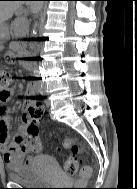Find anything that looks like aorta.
Here are the masks:
<instances>
[{
	"instance_id": "obj_1",
	"label": "aorta",
	"mask_w": 137,
	"mask_h": 189,
	"mask_svg": "<svg viewBox=\"0 0 137 189\" xmlns=\"http://www.w3.org/2000/svg\"><path fill=\"white\" fill-rule=\"evenodd\" d=\"M34 46H35V45L32 44V47H34ZM36 68H37V65L35 64V65H34V69H36ZM34 72H35V71H34ZM34 75H35V76H34V78H35L34 81H35V82H41V81H42V80L40 79V78H41V76H40L41 74H40V73H36V72H35Z\"/></svg>"
}]
</instances>
